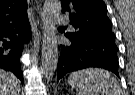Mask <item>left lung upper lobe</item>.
Returning <instances> with one entry per match:
<instances>
[{
  "mask_svg": "<svg viewBox=\"0 0 135 95\" xmlns=\"http://www.w3.org/2000/svg\"><path fill=\"white\" fill-rule=\"evenodd\" d=\"M61 2L63 13H69L70 24L76 29L74 33H67L69 36L115 37L103 0H61Z\"/></svg>",
  "mask_w": 135,
  "mask_h": 95,
  "instance_id": "left-lung-upper-lobe-1",
  "label": "left lung upper lobe"
}]
</instances>
